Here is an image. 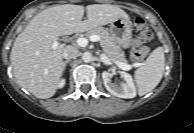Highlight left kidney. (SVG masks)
Listing matches in <instances>:
<instances>
[{
    "label": "left kidney",
    "instance_id": "5707ae66",
    "mask_svg": "<svg viewBox=\"0 0 194 133\" xmlns=\"http://www.w3.org/2000/svg\"><path fill=\"white\" fill-rule=\"evenodd\" d=\"M120 75L124 82L115 84L111 81L112 73L104 71L102 73L104 86L114 96L125 99L134 98L136 96V88L131 75L123 71L120 72Z\"/></svg>",
    "mask_w": 194,
    "mask_h": 133
}]
</instances>
